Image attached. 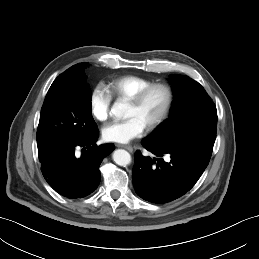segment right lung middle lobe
I'll return each mask as SVG.
<instances>
[{
	"label": "right lung middle lobe",
	"mask_w": 259,
	"mask_h": 259,
	"mask_svg": "<svg viewBox=\"0 0 259 259\" xmlns=\"http://www.w3.org/2000/svg\"><path fill=\"white\" fill-rule=\"evenodd\" d=\"M87 66L80 63L74 83L46 95L36 135L39 156L71 147L97 128L91 115L92 93L83 71Z\"/></svg>",
	"instance_id": "obj_1"
}]
</instances>
